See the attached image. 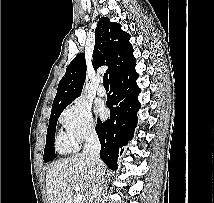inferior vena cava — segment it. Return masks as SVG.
Returning <instances> with one entry per match:
<instances>
[{"label": "inferior vena cava", "instance_id": "1", "mask_svg": "<svg viewBox=\"0 0 214 203\" xmlns=\"http://www.w3.org/2000/svg\"><path fill=\"white\" fill-rule=\"evenodd\" d=\"M100 141L95 132L91 130L87 137L83 149V156L90 167V179L91 186L90 192L87 196L85 203H100V198L103 190L104 184V172L105 166L100 159Z\"/></svg>", "mask_w": 214, "mask_h": 203}]
</instances>
